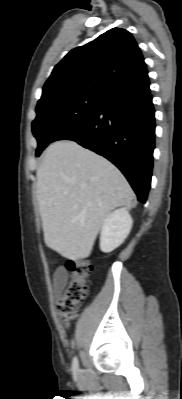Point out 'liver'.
I'll return each instance as SVG.
<instances>
[{
    "mask_svg": "<svg viewBox=\"0 0 182 399\" xmlns=\"http://www.w3.org/2000/svg\"><path fill=\"white\" fill-rule=\"evenodd\" d=\"M134 192L108 160L73 141H57L37 170L45 244L67 259L90 256L105 218L131 207Z\"/></svg>",
    "mask_w": 182,
    "mask_h": 399,
    "instance_id": "obj_1",
    "label": "liver"
}]
</instances>
